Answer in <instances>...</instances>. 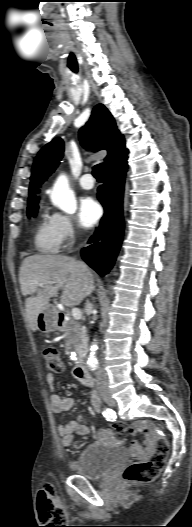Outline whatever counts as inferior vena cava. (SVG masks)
I'll return each instance as SVG.
<instances>
[{
  "instance_id": "obj_1",
  "label": "inferior vena cava",
  "mask_w": 192,
  "mask_h": 527,
  "mask_svg": "<svg viewBox=\"0 0 192 527\" xmlns=\"http://www.w3.org/2000/svg\"><path fill=\"white\" fill-rule=\"evenodd\" d=\"M85 307H86V309L88 311H91L93 305H92V303L87 301ZM96 384L99 387L107 386V384H108L107 374H106V372H105V370H104V368L102 366H100V368L97 371Z\"/></svg>"
}]
</instances>
